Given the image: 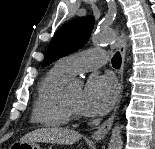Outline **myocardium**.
<instances>
[{"instance_id": "1", "label": "myocardium", "mask_w": 155, "mask_h": 149, "mask_svg": "<svg viewBox=\"0 0 155 149\" xmlns=\"http://www.w3.org/2000/svg\"><path fill=\"white\" fill-rule=\"evenodd\" d=\"M62 103L63 106L65 108V110L67 111V113L69 114L70 117L78 119L81 117V113L79 110H77L67 99L66 97V91L63 90L62 93Z\"/></svg>"}]
</instances>
